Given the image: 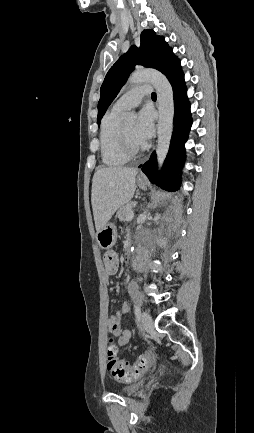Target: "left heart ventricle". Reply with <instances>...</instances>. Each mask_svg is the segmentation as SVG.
Wrapping results in <instances>:
<instances>
[{"instance_id": "obj_1", "label": "left heart ventricle", "mask_w": 254, "mask_h": 433, "mask_svg": "<svg viewBox=\"0 0 254 433\" xmlns=\"http://www.w3.org/2000/svg\"><path fill=\"white\" fill-rule=\"evenodd\" d=\"M122 127H123L128 139H129L130 143L136 148L141 147L142 144H140L139 141L137 140V138L135 137V133H134L135 123L130 122V123L123 125Z\"/></svg>"}]
</instances>
